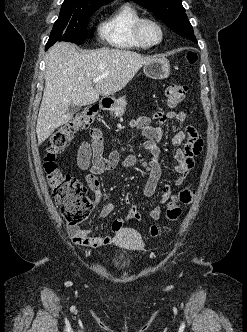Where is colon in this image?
Instances as JSON below:
<instances>
[{
  "label": "colon",
  "instance_id": "obj_1",
  "mask_svg": "<svg viewBox=\"0 0 247 332\" xmlns=\"http://www.w3.org/2000/svg\"><path fill=\"white\" fill-rule=\"evenodd\" d=\"M186 59L189 63H194L197 55L190 51L186 54ZM187 92L188 87L185 85L172 84L168 86L165 92L166 104L169 107H176L185 99ZM95 114V107L83 108L70 122L58 128L50 137L44 156L43 167L52 196L69 225H76L87 219L93 210V203L89 199L83 183L76 177L64 173L57 165L56 160L58 155L68 146L74 134L79 130L86 129L92 123ZM194 196V188L181 189L167 202L166 217L171 221L178 220L182 214L180 204L191 203ZM122 225V220L117 218L112 223V230L118 232ZM164 230L166 229L153 225L150 228V233L152 236H158Z\"/></svg>",
  "mask_w": 247,
  "mask_h": 332
}]
</instances>
